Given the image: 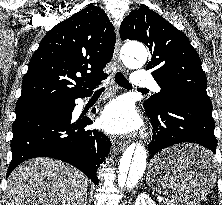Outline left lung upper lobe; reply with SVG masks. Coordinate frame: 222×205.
<instances>
[{
  "label": "left lung upper lobe",
  "instance_id": "5c2ea615",
  "mask_svg": "<svg viewBox=\"0 0 222 205\" xmlns=\"http://www.w3.org/2000/svg\"><path fill=\"white\" fill-rule=\"evenodd\" d=\"M122 41L138 40L151 51L146 69L160 86L159 93L144 102L149 113H159L166 97L173 93H189L209 99L207 79L197 51L184 33L158 13L140 7L125 17L120 26Z\"/></svg>",
  "mask_w": 222,
  "mask_h": 205
}]
</instances>
